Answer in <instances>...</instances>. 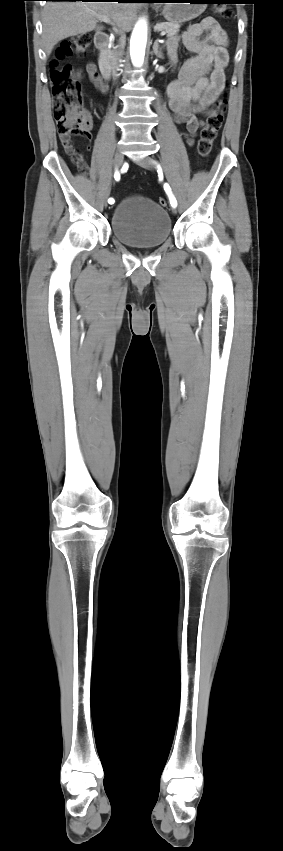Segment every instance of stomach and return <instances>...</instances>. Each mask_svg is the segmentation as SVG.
Instances as JSON below:
<instances>
[{
  "label": "stomach",
  "instance_id": "stomach-1",
  "mask_svg": "<svg viewBox=\"0 0 283 851\" xmlns=\"http://www.w3.org/2000/svg\"><path fill=\"white\" fill-rule=\"evenodd\" d=\"M162 15L171 23H184L198 17L206 9L207 0H167ZM160 6H158L159 8Z\"/></svg>",
  "mask_w": 283,
  "mask_h": 851
}]
</instances>
